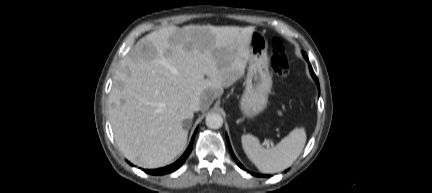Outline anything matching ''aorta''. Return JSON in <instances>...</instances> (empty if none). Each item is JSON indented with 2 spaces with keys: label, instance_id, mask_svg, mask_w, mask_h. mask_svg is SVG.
Instances as JSON below:
<instances>
[{
  "label": "aorta",
  "instance_id": "obj_1",
  "mask_svg": "<svg viewBox=\"0 0 432 193\" xmlns=\"http://www.w3.org/2000/svg\"><path fill=\"white\" fill-rule=\"evenodd\" d=\"M205 123L211 129H219L223 125V118L218 113H209L206 116Z\"/></svg>",
  "mask_w": 432,
  "mask_h": 193
}]
</instances>
